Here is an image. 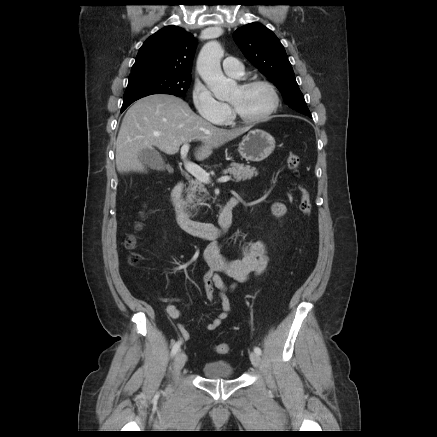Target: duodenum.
Returning <instances> with one entry per match:
<instances>
[{
  "label": "duodenum",
  "mask_w": 437,
  "mask_h": 437,
  "mask_svg": "<svg viewBox=\"0 0 437 437\" xmlns=\"http://www.w3.org/2000/svg\"><path fill=\"white\" fill-rule=\"evenodd\" d=\"M185 183L179 181L172 189L171 198L178 225L192 236L216 239L224 235L232 224L233 209L238 204L236 196L231 197L221 210L217 224L192 219L183 202Z\"/></svg>",
  "instance_id": "obj_1"
}]
</instances>
